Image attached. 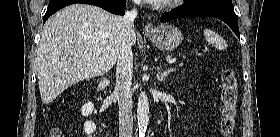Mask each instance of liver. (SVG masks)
Here are the masks:
<instances>
[{
    "label": "liver",
    "instance_id": "liver-1",
    "mask_svg": "<svg viewBox=\"0 0 280 137\" xmlns=\"http://www.w3.org/2000/svg\"><path fill=\"white\" fill-rule=\"evenodd\" d=\"M136 33L131 44L136 43ZM123 37L121 18L100 7L73 4L45 23L36 68L42 102L49 104L79 81L107 73Z\"/></svg>",
    "mask_w": 280,
    "mask_h": 137
}]
</instances>
